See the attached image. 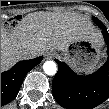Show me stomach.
<instances>
[{
    "mask_svg": "<svg viewBox=\"0 0 109 109\" xmlns=\"http://www.w3.org/2000/svg\"><path fill=\"white\" fill-rule=\"evenodd\" d=\"M57 55L75 71L89 72L94 70L104 57L103 44L79 39L69 43L64 50H58Z\"/></svg>",
    "mask_w": 109,
    "mask_h": 109,
    "instance_id": "0dacf381",
    "label": "stomach"
}]
</instances>
